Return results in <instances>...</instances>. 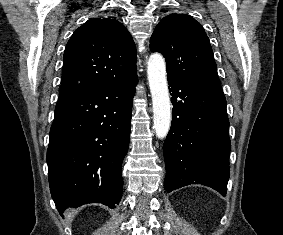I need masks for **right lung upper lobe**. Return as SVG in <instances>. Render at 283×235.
Returning <instances> with one entry per match:
<instances>
[{"instance_id":"obj_1","label":"right lung upper lobe","mask_w":283,"mask_h":235,"mask_svg":"<svg viewBox=\"0 0 283 235\" xmlns=\"http://www.w3.org/2000/svg\"><path fill=\"white\" fill-rule=\"evenodd\" d=\"M136 58L134 41L120 22L112 18L88 20L66 45L59 99L133 75Z\"/></svg>"}]
</instances>
